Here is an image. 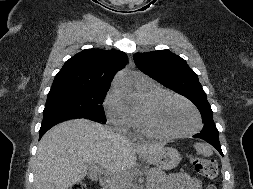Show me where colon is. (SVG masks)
I'll use <instances>...</instances> for the list:
<instances>
[{
  "label": "colon",
  "mask_w": 253,
  "mask_h": 189,
  "mask_svg": "<svg viewBox=\"0 0 253 189\" xmlns=\"http://www.w3.org/2000/svg\"><path fill=\"white\" fill-rule=\"evenodd\" d=\"M192 164L196 170V172L204 177L206 180L211 182L207 189H216L214 182L218 178V166L214 160L202 158V157H194L192 159ZM70 189H87V185L84 182H79L74 184Z\"/></svg>",
  "instance_id": "obj_1"
}]
</instances>
